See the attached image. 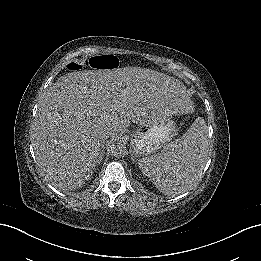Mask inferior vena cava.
Instances as JSON below:
<instances>
[{
  "label": "inferior vena cava",
  "mask_w": 261,
  "mask_h": 261,
  "mask_svg": "<svg viewBox=\"0 0 261 261\" xmlns=\"http://www.w3.org/2000/svg\"><path fill=\"white\" fill-rule=\"evenodd\" d=\"M112 135V133H110V134H108V135H105L104 137H105V139L107 138V137H109V136H111Z\"/></svg>",
  "instance_id": "inferior-vena-cava-1"
}]
</instances>
